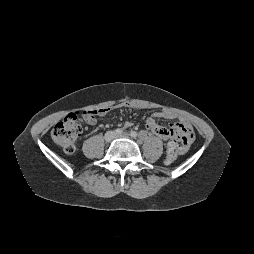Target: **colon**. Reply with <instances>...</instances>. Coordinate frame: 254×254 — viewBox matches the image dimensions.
Wrapping results in <instances>:
<instances>
[{
  "instance_id": "1",
  "label": "colon",
  "mask_w": 254,
  "mask_h": 254,
  "mask_svg": "<svg viewBox=\"0 0 254 254\" xmlns=\"http://www.w3.org/2000/svg\"><path fill=\"white\" fill-rule=\"evenodd\" d=\"M99 110L89 111V116H96ZM185 128H180L179 132H185ZM82 135V126L78 119V114H70L62 121L57 123L51 132L53 141L61 146L66 153H73L76 150L80 137ZM181 155L180 145L173 141L168 145L167 163L174 162Z\"/></svg>"
}]
</instances>
